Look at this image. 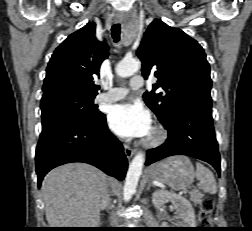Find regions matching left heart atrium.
Masks as SVG:
<instances>
[{
  "label": "left heart atrium",
  "mask_w": 252,
  "mask_h": 231,
  "mask_svg": "<svg viewBox=\"0 0 252 231\" xmlns=\"http://www.w3.org/2000/svg\"><path fill=\"white\" fill-rule=\"evenodd\" d=\"M108 122L113 132L123 138H144L152 129L150 113L138 103L115 105L108 115Z\"/></svg>",
  "instance_id": "left-heart-atrium-1"
}]
</instances>
